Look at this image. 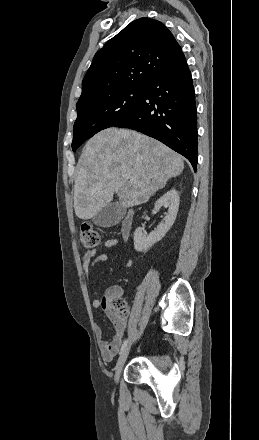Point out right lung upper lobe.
Wrapping results in <instances>:
<instances>
[{
    "label": "right lung upper lobe",
    "instance_id": "right-lung-upper-lobe-1",
    "mask_svg": "<svg viewBox=\"0 0 259 440\" xmlns=\"http://www.w3.org/2000/svg\"><path fill=\"white\" fill-rule=\"evenodd\" d=\"M183 55L162 22L146 17L137 19L95 54L76 107L120 90L148 88L156 76Z\"/></svg>",
    "mask_w": 259,
    "mask_h": 440
}]
</instances>
